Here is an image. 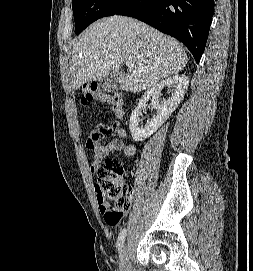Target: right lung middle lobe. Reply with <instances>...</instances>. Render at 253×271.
Returning <instances> with one entry per match:
<instances>
[{
  "label": "right lung middle lobe",
  "instance_id": "obj_1",
  "mask_svg": "<svg viewBox=\"0 0 253 271\" xmlns=\"http://www.w3.org/2000/svg\"><path fill=\"white\" fill-rule=\"evenodd\" d=\"M126 0H72L76 34L95 20L114 15Z\"/></svg>",
  "mask_w": 253,
  "mask_h": 271
}]
</instances>
